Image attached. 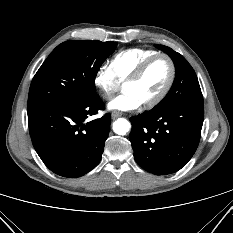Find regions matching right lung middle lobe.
Here are the masks:
<instances>
[{
    "instance_id": "obj_1",
    "label": "right lung middle lobe",
    "mask_w": 233,
    "mask_h": 233,
    "mask_svg": "<svg viewBox=\"0 0 233 233\" xmlns=\"http://www.w3.org/2000/svg\"><path fill=\"white\" fill-rule=\"evenodd\" d=\"M116 47L115 42L90 40L58 45L35 74L27 107L71 103L93 94L97 72Z\"/></svg>"
}]
</instances>
